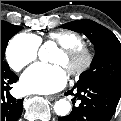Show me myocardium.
I'll use <instances>...</instances> for the list:
<instances>
[{
    "label": "myocardium",
    "instance_id": "obj_1",
    "mask_svg": "<svg viewBox=\"0 0 121 121\" xmlns=\"http://www.w3.org/2000/svg\"><path fill=\"white\" fill-rule=\"evenodd\" d=\"M59 51L70 63L68 73L72 77L82 76L94 62L93 53L83 46L62 47Z\"/></svg>",
    "mask_w": 121,
    "mask_h": 121
}]
</instances>
